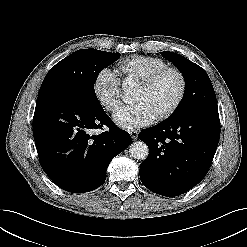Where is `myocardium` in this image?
<instances>
[{
  "mask_svg": "<svg viewBox=\"0 0 247 247\" xmlns=\"http://www.w3.org/2000/svg\"><path fill=\"white\" fill-rule=\"evenodd\" d=\"M167 72H174L175 74H177V76L180 79L181 86H180L179 94H178L177 98L175 99V101L173 102V104L168 109H166L165 111H163L162 113H160L157 116L158 120H165V119L169 118L178 110V108L182 104V102L186 96V93H187V79H186L184 73L177 67L166 66L164 68H161V69L149 74L148 76H146L144 79H142L138 83V86L141 88H145V89L149 88L163 74H165Z\"/></svg>",
  "mask_w": 247,
  "mask_h": 247,
  "instance_id": "1",
  "label": "myocardium"
}]
</instances>
